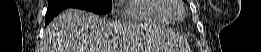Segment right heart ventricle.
Instances as JSON below:
<instances>
[{
  "instance_id": "obj_1",
  "label": "right heart ventricle",
  "mask_w": 261,
  "mask_h": 52,
  "mask_svg": "<svg viewBox=\"0 0 261 52\" xmlns=\"http://www.w3.org/2000/svg\"><path fill=\"white\" fill-rule=\"evenodd\" d=\"M168 0H130L122 8L123 21L140 24H171L166 12L170 9Z\"/></svg>"
}]
</instances>
